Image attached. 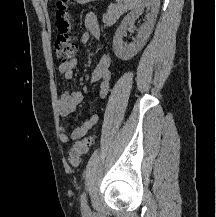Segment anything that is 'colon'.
I'll list each match as a JSON object with an SVG mask.
<instances>
[{
    "instance_id": "colon-1",
    "label": "colon",
    "mask_w": 216,
    "mask_h": 217,
    "mask_svg": "<svg viewBox=\"0 0 216 217\" xmlns=\"http://www.w3.org/2000/svg\"><path fill=\"white\" fill-rule=\"evenodd\" d=\"M69 0H59L56 10V27L58 35L54 43V54L60 64L70 62L76 51L75 36L73 33L72 17L69 12ZM93 135L87 136L73 143L68 155L67 162L72 167H77L81 163L90 146L94 143Z\"/></svg>"
}]
</instances>
